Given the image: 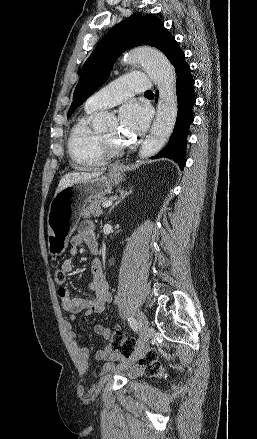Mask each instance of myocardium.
I'll list each match as a JSON object with an SVG mask.
<instances>
[{
    "instance_id": "myocardium-1",
    "label": "myocardium",
    "mask_w": 257,
    "mask_h": 439,
    "mask_svg": "<svg viewBox=\"0 0 257 439\" xmlns=\"http://www.w3.org/2000/svg\"><path fill=\"white\" fill-rule=\"evenodd\" d=\"M100 142H101V145H102V148H103L105 154L108 156H111V157L117 156L123 150L122 145H120L118 142L113 143V142L109 141L103 135L100 136Z\"/></svg>"
}]
</instances>
